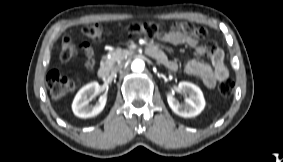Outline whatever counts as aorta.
Masks as SVG:
<instances>
[{
    "mask_svg": "<svg viewBox=\"0 0 283 162\" xmlns=\"http://www.w3.org/2000/svg\"><path fill=\"white\" fill-rule=\"evenodd\" d=\"M145 63L141 59H135L131 64V69L133 72H142L144 70Z\"/></svg>",
    "mask_w": 283,
    "mask_h": 162,
    "instance_id": "1",
    "label": "aorta"
}]
</instances>
